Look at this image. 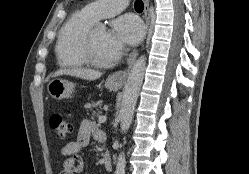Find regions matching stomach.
<instances>
[{"label":"stomach","mask_w":249,"mask_h":174,"mask_svg":"<svg viewBox=\"0 0 249 174\" xmlns=\"http://www.w3.org/2000/svg\"><path fill=\"white\" fill-rule=\"evenodd\" d=\"M109 90H118L120 85L108 78L105 82ZM48 93L57 100L69 97L75 90V84L64 79H54L47 86Z\"/></svg>","instance_id":"obj_1"}]
</instances>
